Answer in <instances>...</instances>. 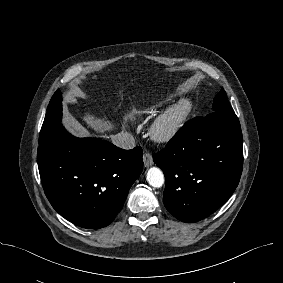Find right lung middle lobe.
<instances>
[{
  "instance_id": "obj_1",
  "label": "right lung middle lobe",
  "mask_w": 283,
  "mask_h": 283,
  "mask_svg": "<svg viewBox=\"0 0 283 283\" xmlns=\"http://www.w3.org/2000/svg\"><path fill=\"white\" fill-rule=\"evenodd\" d=\"M62 95L56 91L50 100L47 113L40 131L39 146L46 144L53 132L60 126L62 118Z\"/></svg>"
}]
</instances>
